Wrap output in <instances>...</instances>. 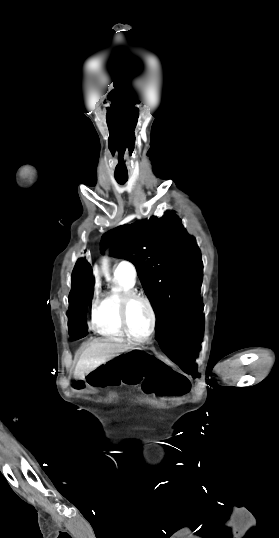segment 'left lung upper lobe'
Instances as JSON below:
<instances>
[{
	"instance_id": "5c2ea615",
	"label": "left lung upper lobe",
	"mask_w": 279,
	"mask_h": 538,
	"mask_svg": "<svg viewBox=\"0 0 279 538\" xmlns=\"http://www.w3.org/2000/svg\"><path fill=\"white\" fill-rule=\"evenodd\" d=\"M129 260L156 313V333H177L204 319L200 301L202 260L181 220L172 213L137 221L103 235Z\"/></svg>"
}]
</instances>
